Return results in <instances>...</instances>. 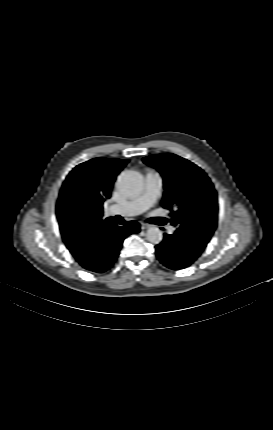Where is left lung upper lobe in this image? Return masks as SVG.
<instances>
[{"instance_id": "5c2ea615", "label": "left lung upper lobe", "mask_w": 273, "mask_h": 430, "mask_svg": "<svg viewBox=\"0 0 273 430\" xmlns=\"http://www.w3.org/2000/svg\"><path fill=\"white\" fill-rule=\"evenodd\" d=\"M143 162L164 179L162 206L171 211L172 225L204 250L218 218L217 193L208 176L197 165L171 153L151 155Z\"/></svg>"}]
</instances>
